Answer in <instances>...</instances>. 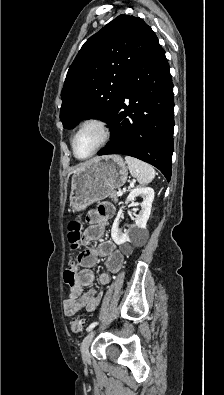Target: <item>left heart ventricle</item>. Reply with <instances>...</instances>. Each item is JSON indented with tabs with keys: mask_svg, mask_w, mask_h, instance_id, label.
Instances as JSON below:
<instances>
[{
	"mask_svg": "<svg viewBox=\"0 0 224 395\" xmlns=\"http://www.w3.org/2000/svg\"><path fill=\"white\" fill-rule=\"evenodd\" d=\"M100 140V132L95 127L83 130L75 140V152L80 158L88 156Z\"/></svg>",
	"mask_w": 224,
	"mask_h": 395,
	"instance_id": "b2bd125f",
	"label": "left heart ventricle"
}]
</instances>
